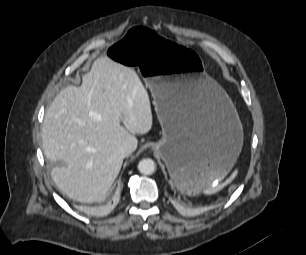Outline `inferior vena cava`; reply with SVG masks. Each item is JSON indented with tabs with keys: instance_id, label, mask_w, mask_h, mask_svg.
Segmentation results:
<instances>
[{
	"instance_id": "obj_1",
	"label": "inferior vena cava",
	"mask_w": 306,
	"mask_h": 255,
	"mask_svg": "<svg viewBox=\"0 0 306 255\" xmlns=\"http://www.w3.org/2000/svg\"><path fill=\"white\" fill-rule=\"evenodd\" d=\"M134 151V148L130 144H124L118 149V154L122 157L125 158L129 156L132 152Z\"/></svg>"
}]
</instances>
